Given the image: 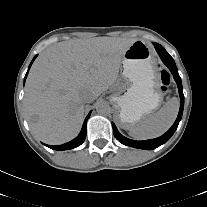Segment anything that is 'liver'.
Segmentation results:
<instances>
[{"label": "liver", "instance_id": "6515ba94", "mask_svg": "<svg viewBox=\"0 0 207 207\" xmlns=\"http://www.w3.org/2000/svg\"><path fill=\"white\" fill-rule=\"evenodd\" d=\"M136 39L94 37L49 46L34 62L25 86L30 129L47 144L75 138L84 118L81 93L94 100L113 86L122 58Z\"/></svg>", "mask_w": 207, "mask_h": 207}]
</instances>
